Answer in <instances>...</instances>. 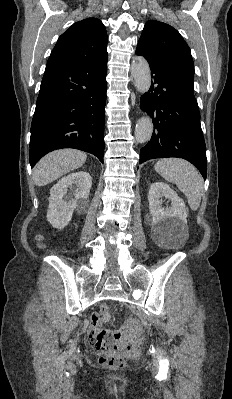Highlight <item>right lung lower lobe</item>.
<instances>
[{"label":"right lung lower lobe","instance_id":"obj_1","mask_svg":"<svg viewBox=\"0 0 232 399\" xmlns=\"http://www.w3.org/2000/svg\"><path fill=\"white\" fill-rule=\"evenodd\" d=\"M107 60L46 65L31 126L32 167L60 148L89 152L103 163Z\"/></svg>","mask_w":232,"mask_h":399}]
</instances>
